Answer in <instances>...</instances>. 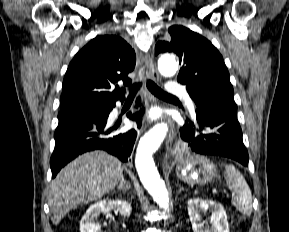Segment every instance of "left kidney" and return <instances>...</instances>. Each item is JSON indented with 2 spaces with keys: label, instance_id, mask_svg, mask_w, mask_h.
Wrapping results in <instances>:
<instances>
[{
  "label": "left kidney",
  "instance_id": "5707ae66",
  "mask_svg": "<svg viewBox=\"0 0 289 232\" xmlns=\"http://www.w3.org/2000/svg\"><path fill=\"white\" fill-rule=\"evenodd\" d=\"M193 232H229V223L223 206L210 199L192 198L187 203ZM211 212V227L201 220V212Z\"/></svg>",
  "mask_w": 289,
  "mask_h": 232
}]
</instances>
